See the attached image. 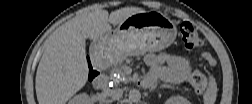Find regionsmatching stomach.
Masks as SVG:
<instances>
[{
	"instance_id": "obj_1",
	"label": "stomach",
	"mask_w": 252,
	"mask_h": 104,
	"mask_svg": "<svg viewBox=\"0 0 252 104\" xmlns=\"http://www.w3.org/2000/svg\"><path fill=\"white\" fill-rule=\"evenodd\" d=\"M176 23L159 11L135 13L112 32L94 41L96 54L111 64L128 56L161 51L172 44Z\"/></svg>"
}]
</instances>
